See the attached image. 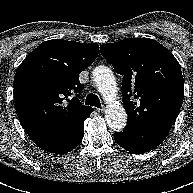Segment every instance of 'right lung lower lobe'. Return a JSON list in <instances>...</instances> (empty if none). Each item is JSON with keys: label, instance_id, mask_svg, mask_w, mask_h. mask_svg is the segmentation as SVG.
<instances>
[{"label": "right lung lower lobe", "instance_id": "1", "mask_svg": "<svg viewBox=\"0 0 193 193\" xmlns=\"http://www.w3.org/2000/svg\"><path fill=\"white\" fill-rule=\"evenodd\" d=\"M90 114L91 113L60 129L40 132L35 135H30V138L38 147L47 152L65 154L77 147L82 141L84 121Z\"/></svg>", "mask_w": 193, "mask_h": 193}]
</instances>
